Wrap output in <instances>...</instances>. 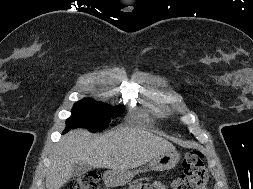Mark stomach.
I'll return each instance as SVG.
<instances>
[{
	"mask_svg": "<svg viewBox=\"0 0 253 189\" xmlns=\"http://www.w3.org/2000/svg\"><path fill=\"white\" fill-rule=\"evenodd\" d=\"M180 160V154L176 151H166L155 156L149 163L152 170L163 171L174 168ZM134 174L131 171H107L103 179L107 185L118 186L130 182Z\"/></svg>",
	"mask_w": 253,
	"mask_h": 189,
	"instance_id": "0dacf381",
	"label": "stomach"
}]
</instances>
